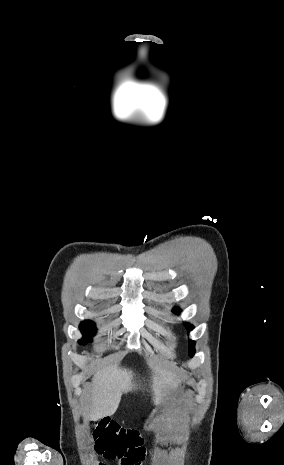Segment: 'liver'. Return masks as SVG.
Wrapping results in <instances>:
<instances>
[{
	"instance_id": "liver-1",
	"label": "liver",
	"mask_w": 284,
	"mask_h": 465,
	"mask_svg": "<svg viewBox=\"0 0 284 465\" xmlns=\"http://www.w3.org/2000/svg\"><path fill=\"white\" fill-rule=\"evenodd\" d=\"M150 369H152L151 391L153 395L154 405H159L164 401L163 393L167 389L175 391L181 377L174 371H165L159 365H154L148 361ZM92 393L89 401V411L86 415L88 421H99L103 417H111L116 413L123 393L136 391L140 385H135L134 373L129 369H123L117 365H109L102 371H97L93 377Z\"/></svg>"
}]
</instances>
